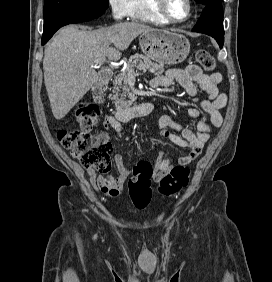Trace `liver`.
Returning <instances> with one entry per match:
<instances>
[{
	"label": "liver",
	"instance_id": "1",
	"mask_svg": "<svg viewBox=\"0 0 272 282\" xmlns=\"http://www.w3.org/2000/svg\"><path fill=\"white\" fill-rule=\"evenodd\" d=\"M151 29L138 22H120L93 31L73 25L61 29L45 47L43 59L53 116L57 120L64 118L89 91L97 77L93 67L98 59L119 60L138 35Z\"/></svg>",
	"mask_w": 272,
	"mask_h": 282
}]
</instances>
